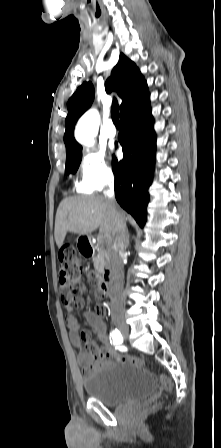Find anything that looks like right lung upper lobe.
<instances>
[{"label":"right lung upper lobe","mask_w":221,"mask_h":448,"mask_svg":"<svg viewBox=\"0 0 221 448\" xmlns=\"http://www.w3.org/2000/svg\"><path fill=\"white\" fill-rule=\"evenodd\" d=\"M113 86L122 99L120 116L149 95L146 81L139 69L124 54H120L119 61L111 72V77L106 81L107 92H110ZM93 99L92 83L84 82L68 101L64 134L67 157L82 152V147L74 139V126L78 118L91 106Z\"/></svg>","instance_id":"obj_1"}]
</instances>
